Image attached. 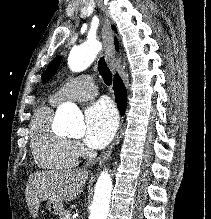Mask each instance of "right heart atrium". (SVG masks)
Listing matches in <instances>:
<instances>
[{"mask_svg":"<svg viewBox=\"0 0 211 219\" xmlns=\"http://www.w3.org/2000/svg\"><path fill=\"white\" fill-rule=\"evenodd\" d=\"M72 144H73L75 151L78 153V155H82L85 153V149L79 142H72Z\"/></svg>","mask_w":211,"mask_h":219,"instance_id":"right-heart-atrium-1","label":"right heart atrium"}]
</instances>
